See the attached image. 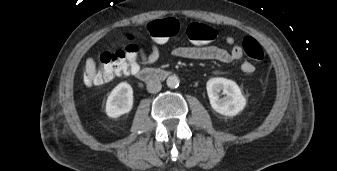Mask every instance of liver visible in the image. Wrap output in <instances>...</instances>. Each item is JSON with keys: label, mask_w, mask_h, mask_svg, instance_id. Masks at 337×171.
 <instances>
[{"label": "liver", "mask_w": 337, "mask_h": 171, "mask_svg": "<svg viewBox=\"0 0 337 171\" xmlns=\"http://www.w3.org/2000/svg\"><path fill=\"white\" fill-rule=\"evenodd\" d=\"M86 73L88 74V77L90 79H92L95 75L96 72V66H95V62L92 58H88L86 60Z\"/></svg>", "instance_id": "6515ba94"}]
</instances>
